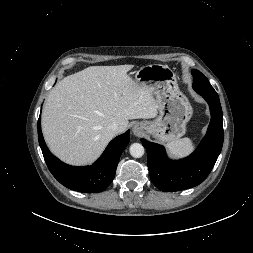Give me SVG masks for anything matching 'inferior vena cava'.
I'll use <instances>...</instances> for the list:
<instances>
[{"mask_svg": "<svg viewBox=\"0 0 253 253\" xmlns=\"http://www.w3.org/2000/svg\"><path fill=\"white\" fill-rule=\"evenodd\" d=\"M110 131L117 133L119 131V125L117 123H111L108 125Z\"/></svg>", "mask_w": 253, "mask_h": 253, "instance_id": "obj_1", "label": "inferior vena cava"}]
</instances>
